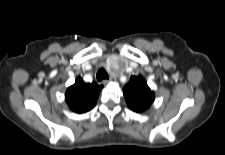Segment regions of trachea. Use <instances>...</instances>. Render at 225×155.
<instances>
[{"label":"trachea","mask_w":225,"mask_h":155,"mask_svg":"<svg viewBox=\"0 0 225 155\" xmlns=\"http://www.w3.org/2000/svg\"><path fill=\"white\" fill-rule=\"evenodd\" d=\"M96 77H97L98 81H102L103 79H109V75L107 74V72L103 68L99 69Z\"/></svg>","instance_id":"obj_1"}]
</instances>
